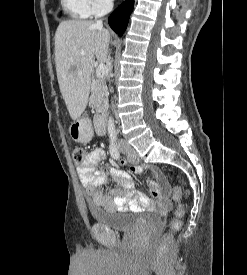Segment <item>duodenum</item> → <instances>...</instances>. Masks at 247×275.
I'll use <instances>...</instances> for the list:
<instances>
[{"label": "duodenum", "mask_w": 247, "mask_h": 275, "mask_svg": "<svg viewBox=\"0 0 247 275\" xmlns=\"http://www.w3.org/2000/svg\"><path fill=\"white\" fill-rule=\"evenodd\" d=\"M94 127L98 135L103 136L106 134L107 124H106V119L103 115H98L95 117Z\"/></svg>", "instance_id": "obj_1"}]
</instances>
